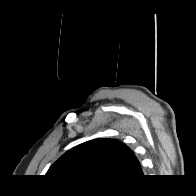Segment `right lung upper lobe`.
<instances>
[{"instance_id": "cb5924a9", "label": "right lung upper lobe", "mask_w": 196, "mask_h": 196, "mask_svg": "<svg viewBox=\"0 0 196 196\" xmlns=\"http://www.w3.org/2000/svg\"><path fill=\"white\" fill-rule=\"evenodd\" d=\"M140 164L128 146L116 139H93L72 148L46 176L84 184L116 185L142 176Z\"/></svg>"}]
</instances>
